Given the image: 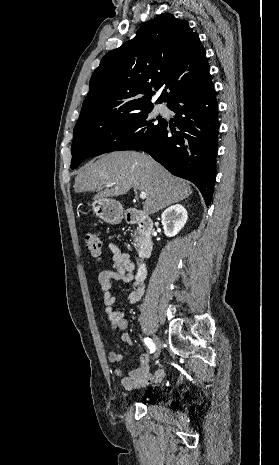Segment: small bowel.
<instances>
[{
  "label": "small bowel",
  "mask_w": 279,
  "mask_h": 465,
  "mask_svg": "<svg viewBox=\"0 0 279 465\" xmlns=\"http://www.w3.org/2000/svg\"><path fill=\"white\" fill-rule=\"evenodd\" d=\"M108 248L112 255V269L103 270L98 276L99 287L103 293L105 304L104 313L108 318L110 329L122 331L120 335L121 341L131 346V337L125 331L128 326L126 312L116 307L117 297L113 289V283L125 282L130 284V287L126 290L127 304L129 305L135 304L141 299L144 293V284L143 281L134 278V264L131 262L129 255L123 253L114 243H109ZM108 359L111 363L118 364L123 357L120 353L111 351L108 354ZM138 361L139 366L130 370L127 374L119 367L114 368V374L120 378L121 385L125 390H133L147 384L159 382L166 375L164 369H159L154 373L149 372L150 355L148 353L139 354Z\"/></svg>",
  "instance_id": "c3829d8e"
}]
</instances>
